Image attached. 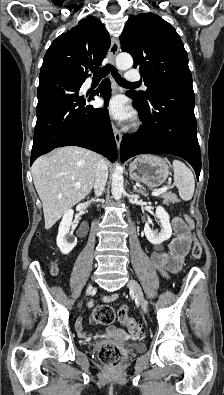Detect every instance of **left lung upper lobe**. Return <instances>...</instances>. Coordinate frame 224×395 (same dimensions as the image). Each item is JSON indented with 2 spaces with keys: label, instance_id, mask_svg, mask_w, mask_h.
I'll list each match as a JSON object with an SVG mask.
<instances>
[{
  "label": "left lung upper lobe",
  "instance_id": "5c2ea615",
  "mask_svg": "<svg viewBox=\"0 0 224 395\" xmlns=\"http://www.w3.org/2000/svg\"><path fill=\"white\" fill-rule=\"evenodd\" d=\"M121 49L140 66L146 91L132 92L150 102L162 94L193 92L187 52L176 30L153 13L131 16L120 36ZM194 93V92H193Z\"/></svg>",
  "mask_w": 224,
  "mask_h": 395
}]
</instances>
